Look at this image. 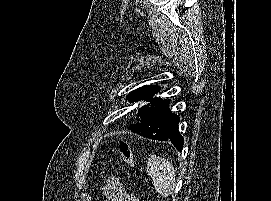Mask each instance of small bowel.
<instances>
[{
  "label": "small bowel",
  "mask_w": 271,
  "mask_h": 201,
  "mask_svg": "<svg viewBox=\"0 0 271 201\" xmlns=\"http://www.w3.org/2000/svg\"><path fill=\"white\" fill-rule=\"evenodd\" d=\"M104 201H130L125 193L122 182L117 178H111L103 187Z\"/></svg>",
  "instance_id": "c3829d8e"
}]
</instances>
